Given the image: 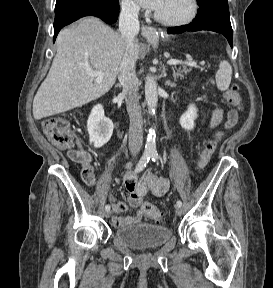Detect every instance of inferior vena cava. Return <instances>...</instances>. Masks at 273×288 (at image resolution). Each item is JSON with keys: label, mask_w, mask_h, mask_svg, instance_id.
<instances>
[{"label": "inferior vena cava", "mask_w": 273, "mask_h": 288, "mask_svg": "<svg viewBox=\"0 0 273 288\" xmlns=\"http://www.w3.org/2000/svg\"><path fill=\"white\" fill-rule=\"evenodd\" d=\"M139 9L127 5L122 7L119 17V31L126 42L125 54L120 65L118 79L125 95L130 118L129 149L138 153L142 148V112L139 104L138 78L135 73L134 43L139 33Z\"/></svg>", "instance_id": "1"}]
</instances>
